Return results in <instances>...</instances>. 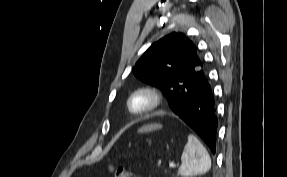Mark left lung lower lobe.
<instances>
[{"mask_svg": "<svg viewBox=\"0 0 287 177\" xmlns=\"http://www.w3.org/2000/svg\"><path fill=\"white\" fill-rule=\"evenodd\" d=\"M171 109L203 139L212 153H215L217 117L211 87L204 72L195 85L185 88L184 96Z\"/></svg>", "mask_w": 287, "mask_h": 177, "instance_id": "0a47b994", "label": "left lung lower lobe"}]
</instances>
